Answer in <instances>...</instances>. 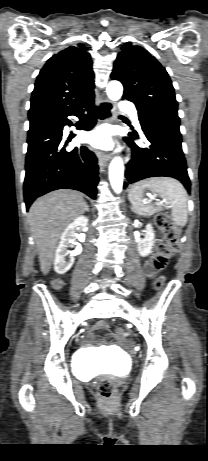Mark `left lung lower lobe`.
<instances>
[{
  "label": "left lung lower lobe",
  "mask_w": 208,
  "mask_h": 461,
  "mask_svg": "<svg viewBox=\"0 0 208 461\" xmlns=\"http://www.w3.org/2000/svg\"><path fill=\"white\" fill-rule=\"evenodd\" d=\"M139 121L141 139L146 146L139 147L132 139L125 138L132 149V158L126 164L124 188L145 178L166 176L179 180L190 191L178 115L158 112L145 115ZM129 136L140 139L136 132H130Z\"/></svg>",
  "instance_id": "1"
}]
</instances>
